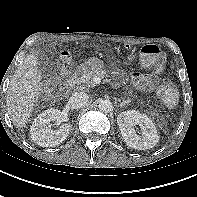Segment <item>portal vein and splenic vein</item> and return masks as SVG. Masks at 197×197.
<instances>
[{"label":"portal vein and splenic vein","instance_id":"1","mask_svg":"<svg viewBox=\"0 0 197 197\" xmlns=\"http://www.w3.org/2000/svg\"><path fill=\"white\" fill-rule=\"evenodd\" d=\"M93 81H94V84H95V85H98V84H100L101 82H103V83H111V84H113L114 86H116V84H115L114 82H111L110 79H103V80H102V78H100V77H98V76H95V77L93 78Z\"/></svg>","mask_w":197,"mask_h":197}]
</instances>
